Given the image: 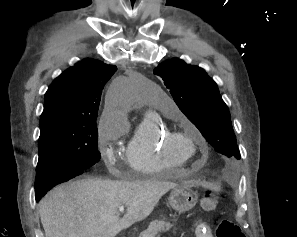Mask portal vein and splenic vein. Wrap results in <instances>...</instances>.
Segmentation results:
<instances>
[{
  "mask_svg": "<svg viewBox=\"0 0 297 237\" xmlns=\"http://www.w3.org/2000/svg\"><path fill=\"white\" fill-rule=\"evenodd\" d=\"M119 212H124V206L119 207Z\"/></svg>",
  "mask_w": 297,
  "mask_h": 237,
  "instance_id": "18ae733b",
  "label": "portal vein and splenic vein"
}]
</instances>
